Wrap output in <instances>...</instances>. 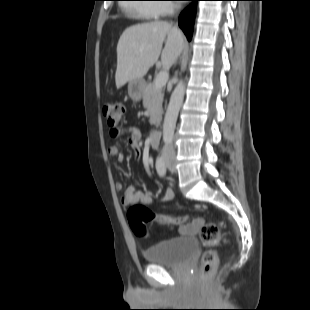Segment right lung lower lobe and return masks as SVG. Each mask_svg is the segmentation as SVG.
<instances>
[{"instance_id": "obj_1", "label": "right lung lower lobe", "mask_w": 310, "mask_h": 310, "mask_svg": "<svg viewBox=\"0 0 310 310\" xmlns=\"http://www.w3.org/2000/svg\"><path fill=\"white\" fill-rule=\"evenodd\" d=\"M191 1L192 3L180 14L178 19L179 27L183 30L189 41L191 40L193 34L196 15V2L198 0Z\"/></svg>"}]
</instances>
